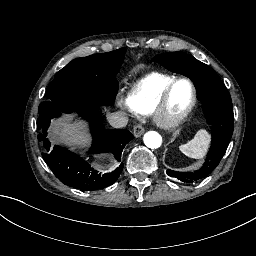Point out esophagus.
<instances>
[{"mask_svg":"<svg viewBox=\"0 0 256 256\" xmlns=\"http://www.w3.org/2000/svg\"><path fill=\"white\" fill-rule=\"evenodd\" d=\"M133 133L135 137H140L141 135H143L144 133V128L142 125L138 124L136 126H134L133 128Z\"/></svg>","mask_w":256,"mask_h":256,"instance_id":"esophagus-1","label":"esophagus"}]
</instances>
